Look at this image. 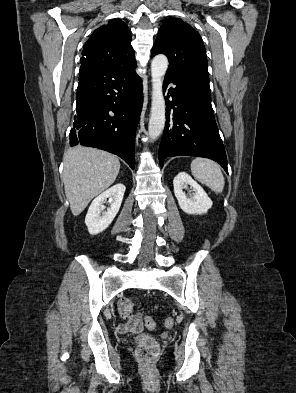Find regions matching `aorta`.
I'll list each match as a JSON object with an SVG mask.
<instances>
[{"label":"aorta","mask_w":296,"mask_h":393,"mask_svg":"<svg viewBox=\"0 0 296 393\" xmlns=\"http://www.w3.org/2000/svg\"><path fill=\"white\" fill-rule=\"evenodd\" d=\"M168 68V59L165 55H156L151 62L152 76V102L148 125V135L156 139L165 126L166 104L163 95V79Z\"/></svg>","instance_id":"1"}]
</instances>
